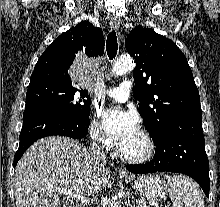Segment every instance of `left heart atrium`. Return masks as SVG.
<instances>
[{"instance_id": "left-heart-atrium-1", "label": "left heart atrium", "mask_w": 220, "mask_h": 207, "mask_svg": "<svg viewBox=\"0 0 220 207\" xmlns=\"http://www.w3.org/2000/svg\"><path fill=\"white\" fill-rule=\"evenodd\" d=\"M102 123L107 133L119 145L137 131L135 116L119 108H109L102 113Z\"/></svg>"}]
</instances>
